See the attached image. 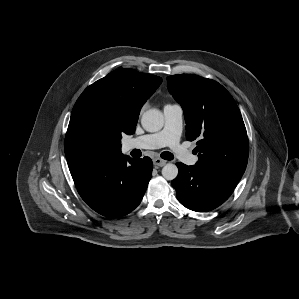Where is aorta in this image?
I'll use <instances>...</instances> for the list:
<instances>
[{
  "mask_svg": "<svg viewBox=\"0 0 299 299\" xmlns=\"http://www.w3.org/2000/svg\"><path fill=\"white\" fill-rule=\"evenodd\" d=\"M142 127L148 132H157L164 125V117L160 110L152 108L143 113L141 118ZM178 175V168L175 164L168 163L162 168V176L166 180H173Z\"/></svg>",
  "mask_w": 299,
  "mask_h": 299,
  "instance_id": "obj_1",
  "label": "aorta"
}]
</instances>
